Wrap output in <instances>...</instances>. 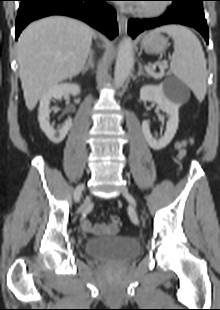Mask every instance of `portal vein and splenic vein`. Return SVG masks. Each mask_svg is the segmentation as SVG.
I'll list each match as a JSON object with an SVG mask.
<instances>
[{
  "instance_id": "obj_1",
  "label": "portal vein and splenic vein",
  "mask_w": 220,
  "mask_h": 310,
  "mask_svg": "<svg viewBox=\"0 0 220 310\" xmlns=\"http://www.w3.org/2000/svg\"><path fill=\"white\" fill-rule=\"evenodd\" d=\"M167 66V63L166 62H164V68ZM154 77H156V78H160L161 77V74H156V73H153L152 74Z\"/></svg>"
}]
</instances>
